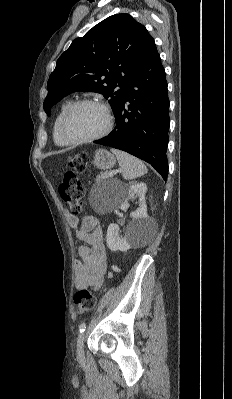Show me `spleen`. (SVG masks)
I'll return each instance as SVG.
<instances>
[{"mask_svg":"<svg viewBox=\"0 0 232 399\" xmlns=\"http://www.w3.org/2000/svg\"><path fill=\"white\" fill-rule=\"evenodd\" d=\"M112 154H115L118 164L123 172L124 180H135L147 174L148 170L138 158L126 154V152H120V150H111Z\"/></svg>","mask_w":232,"mask_h":399,"instance_id":"obj_1","label":"spleen"}]
</instances>
